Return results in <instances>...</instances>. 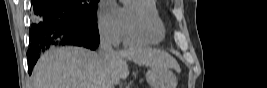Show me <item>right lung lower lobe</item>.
Instances as JSON below:
<instances>
[{
    "mask_svg": "<svg viewBox=\"0 0 267 88\" xmlns=\"http://www.w3.org/2000/svg\"><path fill=\"white\" fill-rule=\"evenodd\" d=\"M34 23L27 51L32 72L42 51L54 45H77L95 50L99 45L97 22L88 21L55 0H32Z\"/></svg>",
    "mask_w": 267,
    "mask_h": 88,
    "instance_id": "right-lung-lower-lobe-1",
    "label": "right lung lower lobe"
}]
</instances>
